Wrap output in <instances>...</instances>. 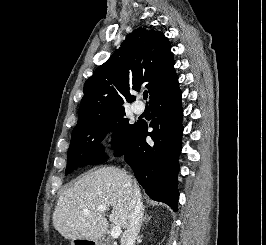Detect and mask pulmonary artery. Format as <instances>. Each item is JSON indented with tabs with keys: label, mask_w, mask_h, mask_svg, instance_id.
<instances>
[{
	"label": "pulmonary artery",
	"mask_w": 266,
	"mask_h": 245,
	"mask_svg": "<svg viewBox=\"0 0 266 245\" xmlns=\"http://www.w3.org/2000/svg\"><path fill=\"white\" fill-rule=\"evenodd\" d=\"M144 109H145V105L143 103H141V102H135L133 104V111L136 114L143 113Z\"/></svg>",
	"instance_id": "pulmonary-artery-1"
}]
</instances>
